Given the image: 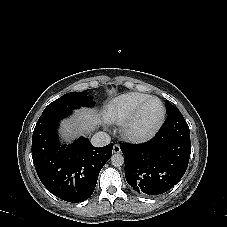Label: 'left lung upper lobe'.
I'll use <instances>...</instances> for the list:
<instances>
[{
  "label": "left lung upper lobe",
  "instance_id": "1",
  "mask_svg": "<svg viewBox=\"0 0 227 227\" xmlns=\"http://www.w3.org/2000/svg\"><path fill=\"white\" fill-rule=\"evenodd\" d=\"M165 104H166V113L167 115H169L172 111L176 110L177 107H175L174 105H172L169 101L165 100Z\"/></svg>",
  "mask_w": 227,
  "mask_h": 227
}]
</instances>
